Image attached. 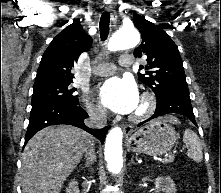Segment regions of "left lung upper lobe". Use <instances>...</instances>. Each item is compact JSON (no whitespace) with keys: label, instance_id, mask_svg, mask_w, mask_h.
<instances>
[{"label":"left lung upper lobe","instance_id":"5c2ea615","mask_svg":"<svg viewBox=\"0 0 221 193\" xmlns=\"http://www.w3.org/2000/svg\"><path fill=\"white\" fill-rule=\"evenodd\" d=\"M135 26L142 35V42L134 50L135 57L147 56L146 74L138 75L141 82L149 86L157 101L178 88H188L178 47L160 27L135 14Z\"/></svg>","mask_w":221,"mask_h":193}]
</instances>
